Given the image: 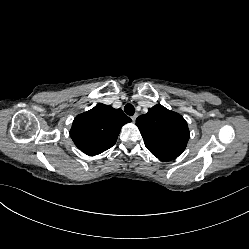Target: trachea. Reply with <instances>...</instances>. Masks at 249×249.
<instances>
[{"label":"trachea","mask_w":249,"mask_h":249,"mask_svg":"<svg viewBox=\"0 0 249 249\" xmlns=\"http://www.w3.org/2000/svg\"><path fill=\"white\" fill-rule=\"evenodd\" d=\"M124 111L127 115L132 116L135 113V108L132 104H126Z\"/></svg>","instance_id":"obj_1"}]
</instances>
